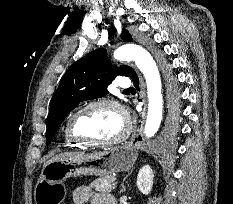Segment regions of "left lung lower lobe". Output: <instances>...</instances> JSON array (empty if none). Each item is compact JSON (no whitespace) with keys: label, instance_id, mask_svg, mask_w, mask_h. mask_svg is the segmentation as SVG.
Returning <instances> with one entry per match:
<instances>
[{"label":"left lung lower lobe","instance_id":"0a47b994","mask_svg":"<svg viewBox=\"0 0 233 204\" xmlns=\"http://www.w3.org/2000/svg\"><path fill=\"white\" fill-rule=\"evenodd\" d=\"M131 79L134 82V85H135L136 89H138L139 79H138L137 74H133L132 77H131ZM138 140H141V137H139Z\"/></svg>","mask_w":233,"mask_h":204}]
</instances>
